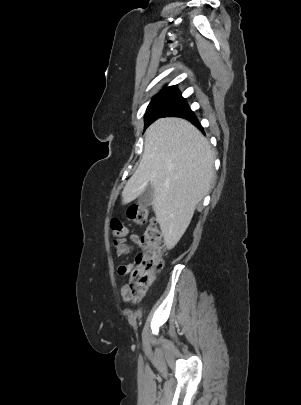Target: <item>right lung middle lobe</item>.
I'll return each instance as SVG.
<instances>
[{
	"instance_id": "1",
	"label": "right lung middle lobe",
	"mask_w": 301,
	"mask_h": 405,
	"mask_svg": "<svg viewBox=\"0 0 301 405\" xmlns=\"http://www.w3.org/2000/svg\"><path fill=\"white\" fill-rule=\"evenodd\" d=\"M186 99L179 91H171L156 95L147 107L145 118V128L156 119L168 116H180L190 112Z\"/></svg>"
}]
</instances>
